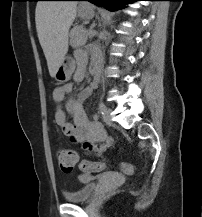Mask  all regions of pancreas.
Here are the masks:
<instances>
[{
  "mask_svg": "<svg viewBox=\"0 0 202 217\" xmlns=\"http://www.w3.org/2000/svg\"><path fill=\"white\" fill-rule=\"evenodd\" d=\"M89 33L83 30L82 26L74 27L70 32V45L72 47H79L86 43Z\"/></svg>",
  "mask_w": 202,
  "mask_h": 217,
  "instance_id": "1",
  "label": "pancreas"
}]
</instances>
